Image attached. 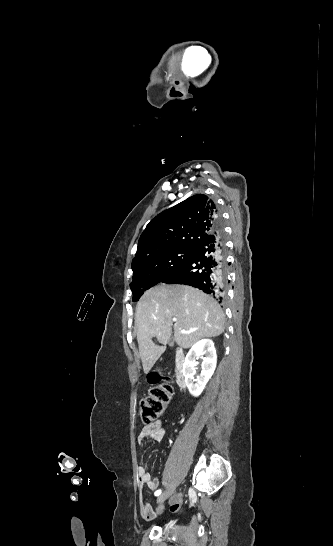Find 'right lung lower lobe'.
<instances>
[{
  "label": "right lung lower lobe",
  "instance_id": "obj_1",
  "mask_svg": "<svg viewBox=\"0 0 333 546\" xmlns=\"http://www.w3.org/2000/svg\"><path fill=\"white\" fill-rule=\"evenodd\" d=\"M228 265L223 233L218 225L200 239L190 257L161 282L190 285L222 299L227 288Z\"/></svg>",
  "mask_w": 333,
  "mask_h": 546
}]
</instances>
